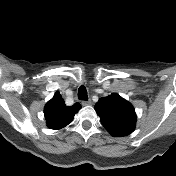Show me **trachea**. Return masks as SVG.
Returning a JSON list of instances; mask_svg holds the SVG:
<instances>
[{
    "label": "trachea",
    "mask_w": 176,
    "mask_h": 176,
    "mask_svg": "<svg viewBox=\"0 0 176 176\" xmlns=\"http://www.w3.org/2000/svg\"><path fill=\"white\" fill-rule=\"evenodd\" d=\"M78 98L80 100H88L87 90L84 86H80L78 89Z\"/></svg>",
    "instance_id": "1"
}]
</instances>
